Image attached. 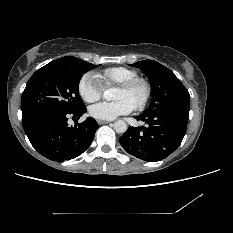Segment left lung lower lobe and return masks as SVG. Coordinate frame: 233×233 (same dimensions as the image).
<instances>
[{
	"label": "left lung lower lobe",
	"mask_w": 233,
	"mask_h": 233,
	"mask_svg": "<svg viewBox=\"0 0 233 233\" xmlns=\"http://www.w3.org/2000/svg\"><path fill=\"white\" fill-rule=\"evenodd\" d=\"M189 110L141 114L136 117L148 127H129L119 138L130 155L144 161H160L181 144L186 133Z\"/></svg>",
	"instance_id": "1"
}]
</instances>
